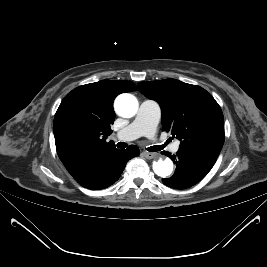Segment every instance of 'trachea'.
I'll use <instances>...</instances> for the list:
<instances>
[{
	"instance_id": "1",
	"label": "trachea",
	"mask_w": 267,
	"mask_h": 267,
	"mask_svg": "<svg viewBox=\"0 0 267 267\" xmlns=\"http://www.w3.org/2000/svg\"><path fill=\"white\" fill-rule=\"evenodd\" d=\"M166 143H165V145H166ZM117 147L118 148H126L127 147V144L124 143V142H119V143H117ZM163 148H164V146H162V145H160V146L159 145H156V146L148 147L147 150L148 151H152V152H156V151L162 150Z\"/></svg>"
}]
</instances>
